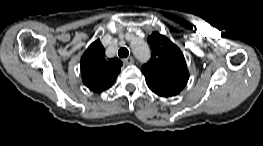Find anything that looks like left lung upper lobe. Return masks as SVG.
<instances>
[{"label":"left lung upper lobe","instance_id":"left-lung-upper-lobe-1","mask_svg":"<svg viewBox=\"0 0 263 146\" xmlns=\"http://www.w3.org/2000/svg\"><path fill=\"white\" fill-rule=\"evenodd\" d=\"M152 55L142 72L148 87L157 95L172 97L186 86L189 72L181 50L166 36L153 32L148 37Z\"/></svg>","mask_w":263,"mask_h":146}]
</instances>
